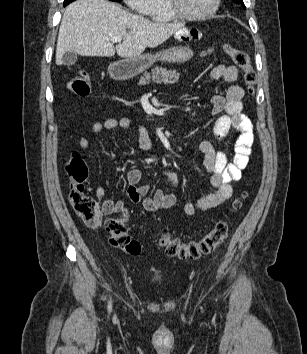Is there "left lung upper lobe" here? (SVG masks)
<instances>
[{
    "label": "left lung upper lobe",
    "instance_id": "obj_1",
    "mask_svg": "<svg viewBox=\"0 0 307 354\" xmlns=\"http://www.w3.org/2000/svg\"><path fill=\"white\" fill-rule=\"evenodd\" d=\"M235 3H238V4H241L244 8H245V5L243 3V0H233Z\"/></svg>",
    "mask_w": 307,
    "mask_h": 354
}]
</instances>
